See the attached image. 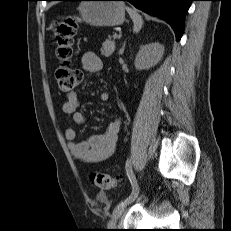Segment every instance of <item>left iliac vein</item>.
Returning a JSON list of instances; mask_svg holds the SVG:
<instances>
[{
    "mask_svg": "<svg viewBox=\"0 0 231 231\" xmlns=\"http://www.w3.org/2000/svg\"><path fill=\"white\" fill-rule=\"evenodd\" d=\"M128 203L126 204H122L121 202L116 206V208L114 209L112 215H111V219L108 223L109 227H115L116 223L118 221V219L121 217V215L123 214L126 206Z\"/></svg>",
    "mask_w": 231,
    "mask_h": 231,
    "instance_id": "1",
    "label": "left iliac vein"
}]
</instances>
